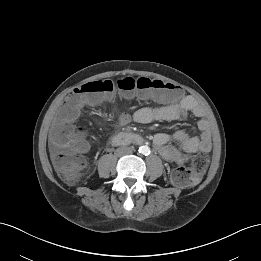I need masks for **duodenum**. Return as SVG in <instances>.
I'll use <instances>...</instances> for the list:
<instances>
[{"label":"duodenum","instance_id":"duodenum-1","mask_svg":"<svg viewBox=\"0 0 261 261\" xmlns=\"http://www.w3.org/2000/svg\"><path fill=\"white\" fill-rule=\"evenodd\" d=\"M113 142L117 145H127L129 143H140L141 137L132 132H121L113 138Z\"/></svg>","mask_w":261,"mask_h":261}]
</instances>
